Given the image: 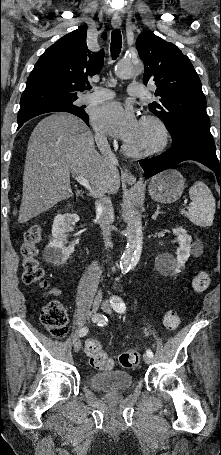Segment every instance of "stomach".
I'll return each mask as SVG.
<instances>
[{
    "mask_svg": "<svg viewBox=\"0 0 221 455\" xmlns=\"http://www.w3.org/2000/svg\"><path fill=\"white\" fill-rule=\"evenodd\" d=\"M185 188V181L181 173L169 169L154 176L148 185L151 198L160 203H173L177 201Z\"/></svg>",
    "mask_w": 221,
    "mask_h": 455,
    "instance_id": "obj_1",
    "label": "stomach"
}]
</instances>
